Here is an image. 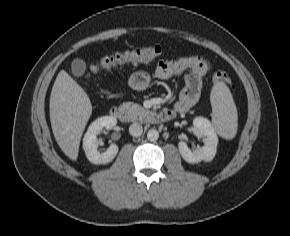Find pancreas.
<instances>
[{"label": "pancreas", "instance_id": "obj_1", "mask_svg": "<svg viewBox=\"0 0 290 236\" xmlns=\"http://www.w3.org/2000/svg\"><path fill=\"white\" fill-rule=\"evenodd\" d=\"M120 110L124 111L130 118L136 120L150 115V111L144 109L139 104L126 102L120 105Z\"/></svg>", "mask_w": 290, "mask_h": 236}]
</instances>
